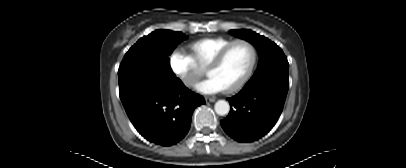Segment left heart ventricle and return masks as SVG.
<instances>
[{"mask_svg": "<svg viewBox=\"0 0 406 168\" xmlns=\"http://www.w3.org/2000/svg\"><path fill=\"white\" fill-rule=\"evenodd\" d=\"M251 58V48L245 43H238L228 51L219 66L210 70L209 76L214 77L224 89L228 88L242 78Z\"/></svg>", "mask_w": 406, "mask_h": 168, "instance_id": "obj_1", "label": "left heart ventricle"}]
</instances>
